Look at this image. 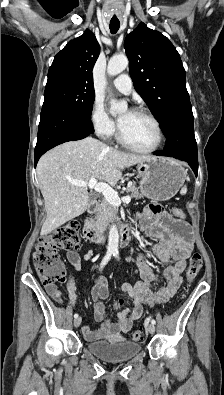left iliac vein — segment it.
I'll use <instances>...</instances> for the list:
<instances>
[{
	"mask_svg": "<svg viewBox=\"0 0 224 395\" xmlns=\"http://www.w3.org/2000/svg\"><path fill=\"white\" fill-rule=\"evenodd\" d=\"M147 330H148V332H149L150 334H154V332H155V325H154V324H149V325L147 326Z\"/></svg>",
	"mask_w": 224,
	"mask_h": 395,
	"instance_id": "left-iliac-vein-1",
	"label": "left iliac vein"
}]
</instances>
